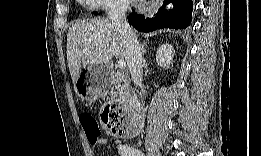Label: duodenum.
<instances>
[{
	"label": "duodenum",
	"mask_w": 261,
	"mask_h": 156,
	"mask_svg": "<svg viewBox=\"0 0 261 156\" xmlns=\"http://www.w3.org/2000/svg\"><path fill=\"white\" fill-rule=\"evenodd\" d=\"M114 104L117 105L118 107L122 108L126 113L131 111L132 104L128 99L117 100ZM144 109H145V101L135 111L136 124L138 126H141V120H142V117H143Z\"/></svg>",
	"instance_id": "1"
}]
</instances>
